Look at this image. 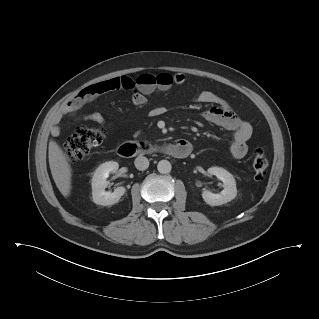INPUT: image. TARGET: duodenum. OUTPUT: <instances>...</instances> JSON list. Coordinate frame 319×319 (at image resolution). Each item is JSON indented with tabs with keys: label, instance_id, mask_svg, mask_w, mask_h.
Here are the masks:
<instances>
[{
	"label": "duodenum",
	"instance_id": "1",
	"mask_svg": "<svg viewBox=\"0 0 319 319\" xmlns=\"http://www.w3.org/2000/svg\"><path fill=\"white\" fill-rule=\"evenodd\" d=\"M158 151L173 158L183 159L191 153L192 145L187 140L179 139L162 146ZM153 152H155L154 148L138 142L124 143L118 148V154L121 157H132L137 154H150Z\"/></svg>",
	"mask_w": 319,
	"mask_h": 319
}]
</instances>
